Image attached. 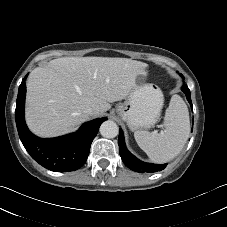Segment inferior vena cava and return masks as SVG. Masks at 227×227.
I'll list each match as a JSON object with an SVG mask.
<instances>
[{
	"label": "inferior vena cava",
	"instance_id": "inferior-vena-cava-1",
	"mask_svg": "<svg viewBox=\"0 0 227 227\" xmlns=\"http://www.w3.org/2000/svg\"><path fill=\"white\" fill-rule=\"evenodd\" d=\"M84 112L87 114V115H94L95 114V109L93 107H87Z\"/></svg>",
	"mask_w": 227,
	"mask_h": 227
}]
</instances>
